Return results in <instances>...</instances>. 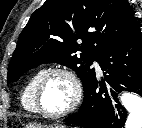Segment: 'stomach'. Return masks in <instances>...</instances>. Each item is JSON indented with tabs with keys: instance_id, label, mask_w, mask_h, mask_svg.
<instances>
[{
	"instance_id": "obj_1",
	"label": "stomach",
	"mask_w": 142,
	"mask_h": 128,
	"mask_svg": "<svg viewBox=\"0 0 142 128\" xmlns=\"http://www.w3.org/2000/svg\"><path fill=\"white\" fill-rule=\"evenodd\" d=\"M25 128H64V126L55 124V125H42L39 123H28Z\"/></svg>"
}]
</instances>
